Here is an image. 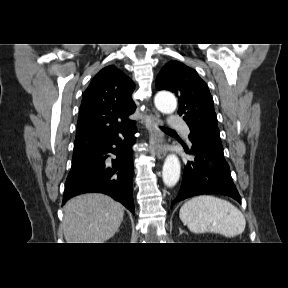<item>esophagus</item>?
<instances>
[{
  "label": "esophagus",
  "mask_w": 288,
  "mask_h": 288,
  "mask_svg": "<svg viewBox=\"0 0 288 288\" xmlns=\"http://www.w3.org/2000/svg\"><path fill=\"white\" fill-rule=\"evenodd\" d=\"M152 127L153 138H154V151L158 159H163L166 156V149L164 147L165 137L160 129L162 122L158 116L151 114L148 120Z\"/></svg>",
  "instance_id": "34e87169"
}]
</instances>
